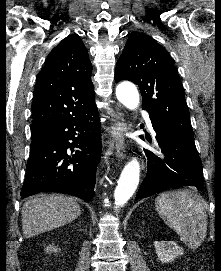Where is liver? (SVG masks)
Returning <instances> with one entry per match:
<instances>
[{"mask_svg":"<svg viewBox=\"0 0 221 271\" xmlns=\"http://www.w3.org/2000/svg\"><path fill=\"white\" fill-rule=\"evenodd\" d=\"M81 213V207L73 197L61 193L33 195L22 207L24 237L50 231L65 223H71Z\"/></svg>","mask_w":221,"mask_h":271,"instance_id":"liver-1","label":"liver"}]
</instances>
